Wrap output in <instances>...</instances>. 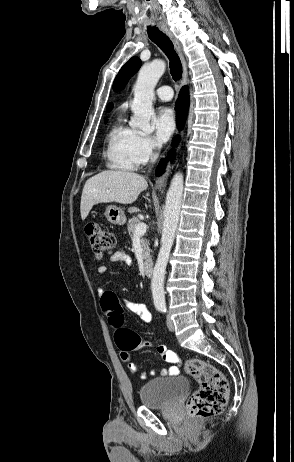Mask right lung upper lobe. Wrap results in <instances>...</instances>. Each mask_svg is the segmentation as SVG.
Masks as SVG:
<instances>
[{"mask_svg":"<svg viewBox=\"0 0 294 462\" xmlns=\"http://www.w3.org/2000/svg\"><path fill=\"white\" fill-rule=\"evenodd\" d=\"M112 107H113V104L110 103V104L107 106V111H110V110L112 109Z\"/></svg>","mask_w":294,"mask_h":462,"instance_id":"right-lung-upper-lobe-1","label":"right lung upper lobe"}]
</instances>
